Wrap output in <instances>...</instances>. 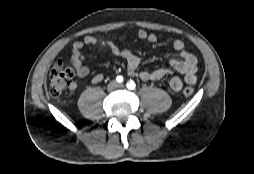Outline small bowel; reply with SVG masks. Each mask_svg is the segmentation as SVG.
<instances>
[{"mask_svg":"<svg viewBox=\"0 0 254 174\" xmlns=\"http://www.w3.org/2000/svg\"><path fill=\"white\" fill-rule=\"evenodd\" d=\"M137 38L147 41L150 44L157 42V36L148 33L146 30L140 29L137 32ZM86 46L102 47L109 49L115 56H118L126 61L127 72L129 75L138 76L143 82H157L167 76H172L173 71L167 68H159L153 71L138 72V67L141 64V58L135 55L130 49L121 48L109 39L99 38L95 36H85L83 39L75 41L72 46V53L70 57L71 65L79 78H85L89 75L90 70L85 64V56L82 49ZM173 49L177 52L170 58V65L173 70L181 73L183 80L178 76H172L169 82L170 88L173 91H180L184 83L194 85L197 82V59L187 51L186 45L182 40H175L173 42ZM103 81V75L97 74L92 78L93 84H99ZM80 83L72 82L70 89L77 90Z\"/></svg>","mask_w":254,"mask_h":174,"instance_id":"c3829d8e","label":"small bowel"}]
</instances>
